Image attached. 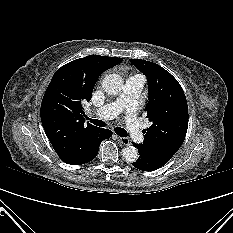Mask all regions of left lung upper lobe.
I'll return each mask as SVG.
<instances>
[{
  "instance_id": "obj_1",
  "label": "left lung upper lobe",
  "mask_w": 233,
  "mask_h": 233,
  "mask_svg": "<svg viewBox=\"0 0 233 233\" xmlns=\"http://www.w3.org/2000/svg\"><path fill=\"white\" fill-rule=\"evenodd\" d=\"M147 77L149 102L145 111L152 125L144 130L141 147L169 161L181 147L188 128V106L178 81L156 63L130 59Z\"/></svg>"
}]
</instances>
